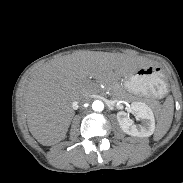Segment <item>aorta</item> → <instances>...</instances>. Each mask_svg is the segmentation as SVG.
<instances>
[{
	"label": "aorta",
	"instance_id": "obj_1",
	"mask_svg": "<svg viewBox=\"0 0 183 183\" xmlns=\"http://www.w3.org/2000/svg\"><path fill=\"white\" fill-rule=\"evenodd\" d=\"M92 109L97 112H101L104 109V104L100 100H96L92 103Z\"/></svg>",
	"mask_w": 183,
	"mask_h": 183
}]
</instances>
